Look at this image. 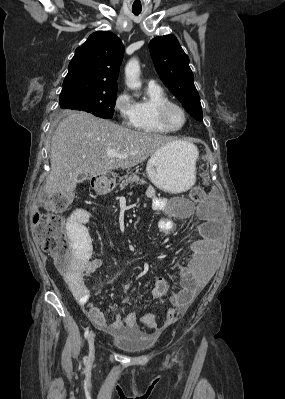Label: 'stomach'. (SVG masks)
I'll return each mask as SVG.
<instances>
[{"instance_id": "0dacf381", "label": "stomach", "mask_w": 285, "mask_h": 399, "mask_svg": "<svg viewBox=\"0 0 285 399\" xmlns=\"http://www.w3.org/2000/svg\"><path fill=\"white\" fill-rule=\"evenodd\" d=\"M197 148L188 142L174 141L157 150L148 160L146 173L158 188L169 193L189 189L196 179ZM98 195L109 193L111 181L100 177L93 183Z\"/></svg>"}]
</instances>
